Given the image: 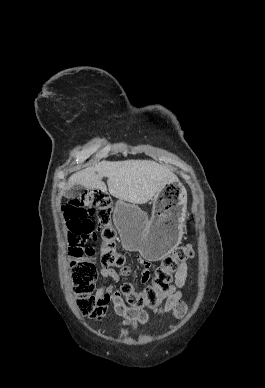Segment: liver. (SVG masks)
I'll return each mask as SVG.
<instances>
[{
    "mask_svg": "<svg viewBox=\"0 0 265 388\" xmlns=\"http://www.w3.org/2000/svg\"><path fill=\"white\" fill-rule=\"evenodd\" d=\"M108 178L111 196L130 202L147 204L155 194H160L168 182H178L177 176L165 166L151 160H126V162H98L86 170L72 174L67 188L84 186L89 190L107 192L102 178Z\"/></svg>",
    "mask_w": 265,
    "mask_h": 388,
    "instance_id": "1",
    "label": "liver"
}]
</instances>
